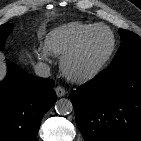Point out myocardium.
<instances>
[{
    "mask_svg": "<svg viewBox=\"0 0 141 141\" xmlns=\"http://www.w3.org/2000/svg\"><path fill=\"white\" fill-rule=\"evenodd\" d=\"M98 29H104L108 31L111 36V46L107 52V54L103 57L101 61H99L95 66L92 68L82 71V72H75L71 68V63L74 58L78 55L80 50L82 49L83 45L85 44L86 40L89 36ZM116 49V37L114 32L106 25L103 24H96L91 27L88 31H86L80 39L74 44L72 48H70L62 57H61V70L63 74L66 76L68 80L74 83L83 84L86 83L95 77H97L107 66L109 61L111 60L114 51Z\"/></svg>",
    "mask_w": 141,
    "mask_h": 141,
    "instance_id": "myocardium-1",
    "label": "myocardium"
}]
</instances>
